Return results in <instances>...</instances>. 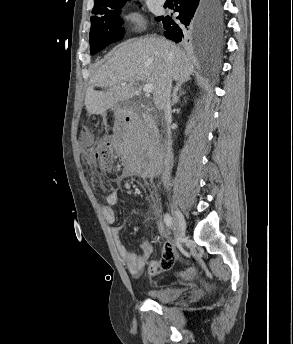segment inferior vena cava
I'll list each match as a JSON object with an SVG mask.
<instances>
[{
    "mask_svg": "<svg viewBox=\"0 0 293 344\" xmlns=\"http://www.w3.org/2000/svg\"><path fill=\"white\" fill-rule=\"evenodd\" d=\"M171 89H172V80L170 78L166 79V82L160 93V102L162 104V109L164 111L165 122L167 126V141H166V155H165V168L162 174V181L165 188H168L170 184L171 170L173 166V153L171 148V130L170 123L172 119L171 114Z\"/></svg>",
    "mask_w": 293,
    "mask_h": 344,
    "instance_id": "1",
    "label": "inferior vena cava"
}]
</instances>
